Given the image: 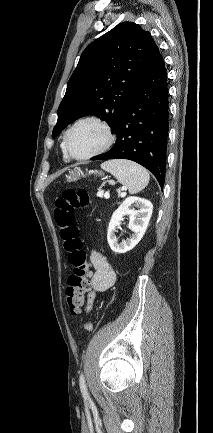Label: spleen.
I'll return each instance as SVG.
<instances>
[{
    "instance_id": "1",
    "label": "spleen",
    "mask_w": 213,
    "mask_h": 433,
    "mask_svg": "<svg viewBox=\"0 0 213 433\" xmlns=\"http://www.w3.org/2000/svg\"><path fill=\"white\" fill-rule=\"evenodd\" d=\"M101 168L111 173L119 183L126 186L130 194H136L143 190L150 180L146 169L128 160L106 161L101 164Z\"/></svg>"
}]
</instances>
